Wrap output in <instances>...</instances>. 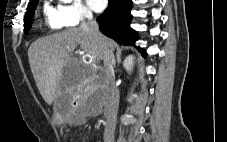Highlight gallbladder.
<instances>
[{"label": "gallbladder", "instance_id": "obj_1", "mask_svg": "<svg viewBox=\"0 0 227 142\" xmlns=\"http://www.w3.org/2000/svg\"><path fill=\"white\" fill-rule=\"evenodd\" d=\"M73 93H60L59 97L54 102V113L57 117H63L66 113H73Z\"/></svg>", "mask_w": 227, "mask_h": 142}]
</instances>
